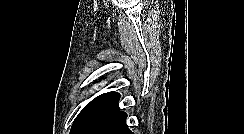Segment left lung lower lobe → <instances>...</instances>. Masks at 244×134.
I'll return each instance as SVG.
<instances>
[{
	"mask_svg": "<svg viewBox=\"0 0 244 134\" xmlns=\"http://www.w3.org/2000/svg\"><path fill=\"white\" fill-rule=\"evenodd\" d=\"M127 114L118 111L106 120L93 134H133L126 125Z\"/></svg>",
	"mask_w": 244,
	"mask_h": 134,
	"instance_id": "left-lung-lower-lobe-1",
	"label": "left lung lower lobe"
}]
</instances>
